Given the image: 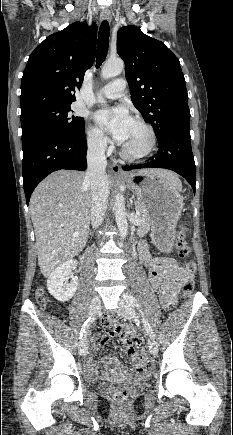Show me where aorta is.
<instances>
[{"mask_svg":"<svg viewBox=\"0 0 233 435\" xmlns=\"http://www.w3.org/2000/svg\"><path fill=\"white\" fill-rule=\"evenodd\" d=\"M124 62L121 59L108 60L102 68L101 76L103 79H109L122 73ZM115 220L122 239L127 236L128 222L125 209L124 196L118 193L114 201Z\"/></svg>","mask_w":233,"mask_h":435,"instance_id":"762f6f07","label":"aorta"}]
</instances>
